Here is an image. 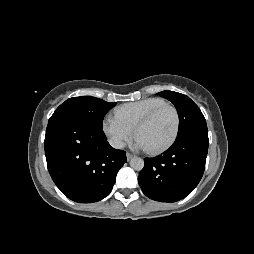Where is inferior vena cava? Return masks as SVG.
Listing matches in <instances>:
<instances>
[{
	"label": "inferior vena cava",
	"mask_w": 254,
	"mask_h": 254,
	"mask_svg": "<svg viewBox=\"0 0 254 254\" xmlns=\"http://www.w3.org/2000/svg\"><path fill=\"white\" fill-rule=\"evenodd\" d=\"M110 145L115 149H122L125 146V143L119 139L113 138L109 140Z\"/></svg>",
	"instance_id": "obj_1"
}]
</instances>
